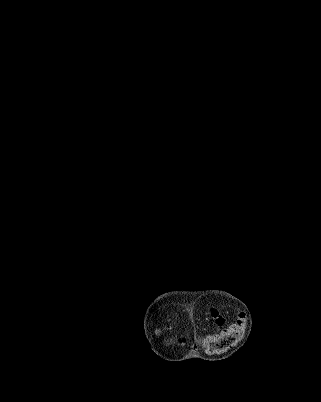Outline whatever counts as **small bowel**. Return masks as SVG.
<instances>
[{
  "label": "small bowel",
  "instance_id": "1",
  "mask_svg": "<svg viewBox=\"0 0 321 402\" xmlns=\"http://www.w3.org/2000/svg\"><path fill=\"white\" fill-rule=\"evenodd\" d=\"M210 312L217 325L221 326L224 322L222 316L219 314L218 310L215 307L210 308Z\"/></svg>",
  "mask_w": 321,
  "mask_h": 402
}]
</instances>
